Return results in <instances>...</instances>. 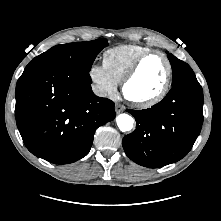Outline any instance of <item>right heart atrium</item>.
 Returning <instances> with one entry per match:
<instances>
[{
  "label": "right heart atrium",
  "instance_id": "d8ad5b80",
  "mask_svg": "<svg viewBox=\"0 0 221 221\" xmlns=\"http://www.w3.org/2000/svg\"><path fill=\"white\" fill-rule=\"evenodd\" d=\"M88 77L98 96L116 98L117 82L109 75L103 64L92 63L88 69Z\"/></svg>",
  "mask_w": 221,
  "mask_h": 221
}]
</instances>
